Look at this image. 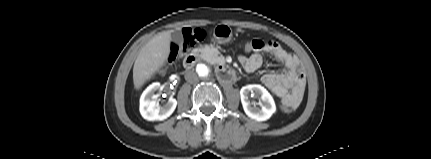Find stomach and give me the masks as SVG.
Segmentation results:
<instances>
[{"mask_svg": "<svg viewBox=\"0 0 431 159\" xmlns=\"http://www.w3.org/2000/svg\"><path fill=\"white\" fill-rule=\"evenodd\" d=\"M213 38L218 44L229 43L232 39V29L225 24H219L214 28Z\"/></svg>", "mask_w": 431, "mask_h": 159, "instance_id": "0dacf381", "label": "stomach"}]
</instances>
